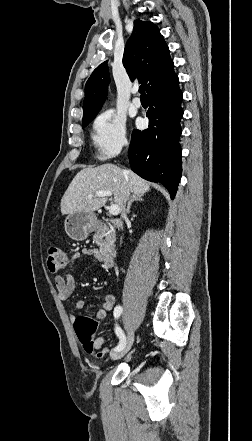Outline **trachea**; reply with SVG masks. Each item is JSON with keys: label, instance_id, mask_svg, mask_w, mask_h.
I'll use <instances>...</instances> for the list:
<instances>
[{"label": "trachea", "instance_id": "3493384b", "mask_svg": "<svg viewBox=\"0 0 252 441\" xmlns=\"http://www.w3.org/2000/svg\"><path fill=\"white\" fill-rule=\"evenodd\" d=\"M139 93L141 94V96H145V87H144V85H141L139 87Z\"/></svg>", "mask_w": 252, "mask_h": 441}]
</instances>
